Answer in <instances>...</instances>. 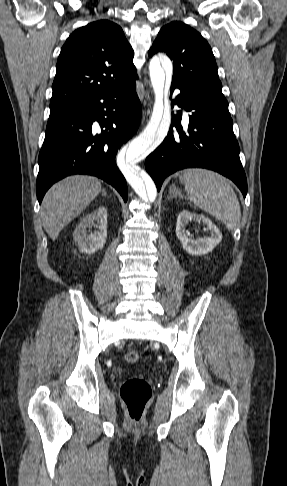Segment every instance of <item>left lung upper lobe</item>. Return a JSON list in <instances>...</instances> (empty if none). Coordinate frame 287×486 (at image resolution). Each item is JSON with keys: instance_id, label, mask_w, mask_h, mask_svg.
<instances>
[{"instance_id": "1", "label": "left lung upper lobe", "mask_w": 287, "mask_h": 486, "mask_svg": "<svg viewBox=\"0 0 287 486\" xmlns=\"http://www.w3.org/2000/svg\"><path fill=\"white\" fill-rule=\"evenodd\" d=\"M164 52L173 60L172 82L192 88L211 107L229 115L212 49L199 32L174 21L160 30L149 56Z\"/></svg>"}]
</instances>
